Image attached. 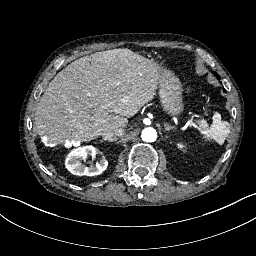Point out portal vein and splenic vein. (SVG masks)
<instances>
[{
  "label": "portal vein and splenic vein",
  "instance_id": "portal-vein-and-splenic-vein-1",
  "mask_svg": "<svg viewBox=\"0 0 256 256\" xmlns=\"http://www.w3.org/2000/svg\"><path fill=\"white\" fill-rule=\"evenodd\" d=\"M189 123V122H188ZM191 128L192 129H195V130H198V131H202L203 130V127L202 126H198L196 124H192L191 125Z\"/></svg>",
  "mask_w": 256,
  "mask_h": 256
}]
</instances>
